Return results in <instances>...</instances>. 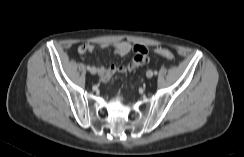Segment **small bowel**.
<instances>
[{"instance_id": "small-bowel-1", "label": "small bowel", "mask_w": 244, "mask_h": 157, "mask_svg": "<svg viewBox=\"0 0 244 157\" xmlns=\"http://www.w3.org/2000/svg\"><path fill=\"white\" fill-rule=\"evenodd\" d=\"M98 46L101 49H111L112 51H114L115 53L121 56H125L129 54L131 51L137 53L139 50H145L147 52V49L144 46L131 44L127 41H121L117 43H101ZM94 49H95V45L87 43V44L80 45L78 47V52L82 55H85L91 53ZM141 65L143 64L138 63L137 61H135V59H133L128 65L125 66L111 65L109 67H106L104 65H99L97 67V71L101 80L103 82H106L108 79H110L112 76H114L117 73H127Z\"/></svg>"}]
</instances>
